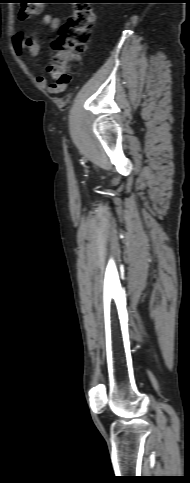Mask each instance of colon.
I'll use <instances>...</instances> for the list:
<instances>
[{"label": "colon", "instance_id": "5ec220e1", "mask_svg": "<svg viewBox=\"0 0 190 483\" xmlns=\"http://www.w3.org/2000/svg\"><path fill=\"white\" fill-rule=\"evenodd\" d=\"M40 3H42L40 0H21L20 17L23 19L35 17L40 12ZM94 23L93 9L88 5L78 4L62 25L58 37L52 43L57 55L47 66L57 88L63 89L71 82L72 78L67 72V62L78 60L86 52Z\"/></svg>", "mask_w": 190, "mask_h": 483}]
</instances>
